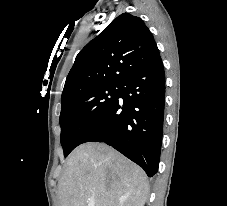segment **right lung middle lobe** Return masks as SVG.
<instances>
[{"instance_id": "1", "label": "right lung middle lobe", "mask_w": 227, "mask_h": 206, "mask_svg": "<svg viewBox=\"0 0 227 206\" xmlns=\"http://www.w3.org/2000/svg\"><path fill=\"white\" fill-rule=\"evenodd\" d=\"M121 84H105L82 90L61 100V145L64 156L88 135L106 111L117 100Z\"/></svg>"}]
</instances>
